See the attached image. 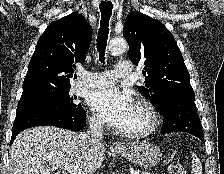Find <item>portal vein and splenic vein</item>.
Here are the masks:
<instances>
[{"label":"portal vein and splenic vein","instance_id":"1","mask_svg":"<svg viewBox=\"0 0 224 174\" xmlns=\"http://www.w3.org/2000/svg\"><path fill=\"white\" fill-rule=\"evenodd\" d=\"M56 166H59L61 169L68 171L70 174H83L81 170H78L77 166H71L68 164H56ZM130 174H140L139 171H130Z\"/></svg>","mask_w":224,"mask_h":174}]
</instances>
